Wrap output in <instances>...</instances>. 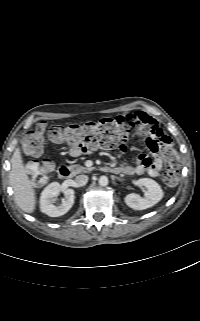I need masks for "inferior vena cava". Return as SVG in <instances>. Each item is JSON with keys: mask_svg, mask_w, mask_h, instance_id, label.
I'll use <instances>...</instances> for the list:
<instances>
[{"mask_svg": "<svg viewBox=\"0 0 200 321\" xmlns=\"http://www.w3.org/2000/svg\"><path fill=\"white\" fill-rule=\"evenodd\" d=\"M75 181H76L78 186H84L88 182V176L84 175V174L78 175L75 178Z\"/></svg>", "mask_w": 200, "mask_h": 321, "instance_id": "obj_1", "label": "inferior vena cava"}]
</instances>
